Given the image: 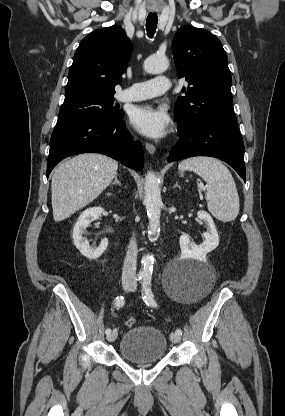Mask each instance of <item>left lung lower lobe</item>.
I'll return each instance as SVG.
<instances>
[{"label":"left lung lower lobe","instance_id":"obj_1","mask_svg":"<svg viewBox=\"0 0 285 416\" xmlns=\"http://www.w3.org/2000/svg\"><path fill=\"white\" fill-rule=\"evenodd\" d=\"M180 139L167 157L173 162L193 156H211L232 166L246 181L244 143L235 117L213 118L187 130H179Z\"/></svg>","mask_w":285,"mask_h":416}]
</instances>
